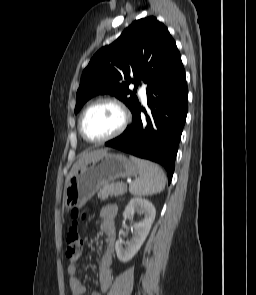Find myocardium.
Masks as SVG:
<instances>
[{
    "label": "myocardium",
    "mask_w": 256,
    "mask_h": 295,
    "mask_svg": "<svg viewBox=\"0 0 256 295\" xmlns=\"http://www.w3.org/2000/svg\"><path fill=\"white\" fill-rule=\"evenodd\" d=\"M111 104L113 106H115L120 114H121V123L119 125V127L117 128L116 131H114L112 134L101 138V139H92L90 137L87 136V134L84 131V122L86 119V116L88 115V113L95 108L96 106L100 105V104ZM130 120V115L128 110L126 109V107L117 99L112 98V97H103V98H99L97 100H95L94 102H92L83 112L81 118H80V123H79V131L81 136L89 143L92 144H102L105 142H108L116 137H118L120 134H122L124 132V130L126 129L128 123Z\"/></svg>",
    "instance_id": "1"
}]
</instances>
